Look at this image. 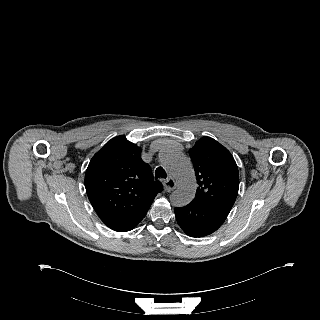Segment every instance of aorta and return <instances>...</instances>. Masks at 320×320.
I'll return each mask as SVG.
<instances>
[{"label": "aorta", "instance_id": "762f6f07", "mask_svg": "<svg viewBox=\"0 0 320 320\" xmlns=\"http://www.w3.org/2000/svg\"><path fill=\"white\" fill-rule=\"evenodd\" d=\"M164 167L177 179L179 186L170 199L173 205L182 207L189 204L196 193V180L191 162L176 149L167 148L161 153Z\"/></svg>", "mask_w": 320, "mask_h": 320}]
</instances>
